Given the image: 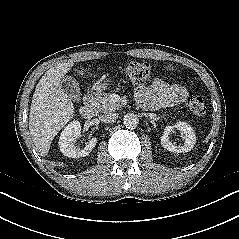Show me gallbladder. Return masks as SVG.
Wrapping results in <instances>:
<instances>
[{"label": "gallbladder", "mask_w": 239, "mask_h": 239, "mask_svg": "<svg viewBox=\"0 0 239 239\" xmlns=\"http://www.w3.org/2000/svg\"><path fill=\"white\" fill-rule=\"evenodd\" d=\"M61 87L68 94L72 101L79 102L81 98V91L79 83L72 76H64L61 79Z\"/></svg>", "instance_id": "1"}]
</instances>
